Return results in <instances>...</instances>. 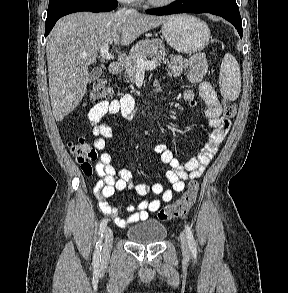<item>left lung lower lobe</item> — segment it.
I'll use <instances>...</instances> for the list:
<instances>
[{
  "instance_id": "left-lung-lower-lobe-1",
  "label": "left lung lower lobe",
  "mask_w": 288,
  "mask_h": 293,
  "mask_svg": "<svg viewBox=\"0 0 288 293\" xmlns=\"http://www.w3.org/2000/svg\"><path fill=\"white\" fill-rule=\"evenodd\" d=\"M146 13L152 15L211 13L232 23L242 38V20L237 4H230L221 0H203L201 2L177 0L166 7L146 10Z\"/></svg>"
}]
</instances>
